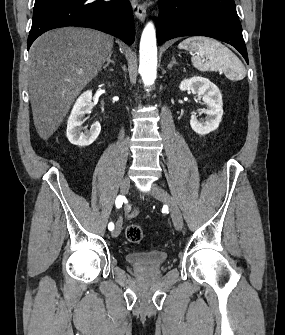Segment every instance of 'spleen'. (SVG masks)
<instances>
[{"mask_svg":"<svg viewBox=\"0 0 285 335\" xmlns=\"http://www.w3.org/2000/svg\"><path fill=\"white\" fill-rule=\"evenodd\" d=\"M180 50H188V52H195L198 56H192V66L200 72H209V70H218L217 66L224 70L230 68L239 72L241 78H245L246 70L241 64L240 60L232 54L228 48L222 46L217 40L212 38H203V36H194V38H187L179 44ZM202 58H208V62H204Z\"/></svg>","mask_w":285,"mask_h":335,"instance_id":"3e777b00","label":"spleen"}]
</instances>
